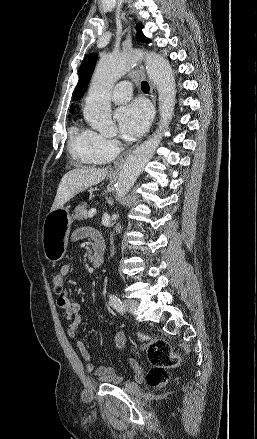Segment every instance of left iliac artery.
<instances>
[{"label": "left iliac artery", "mask_w": 257, "mask_h": 439, "mask_svg": "<svg viewBox=\"0 0 257 439\" xmlns=\"http://www.w3.org/2000/svg\"><path fill=\"white\" fill-rule=\"evenodd\" d=\"M110 299V304L111 306L117 310L120 313H124L125 312V308L124 305L122 304L121 300L114 294H111L109 296Z\"/></svg>", "instance_id": "44dca946"}]
</instances>
